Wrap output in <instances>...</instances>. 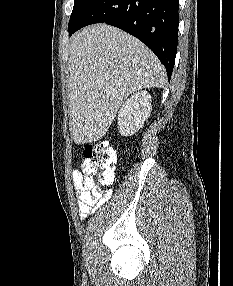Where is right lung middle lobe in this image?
Listing matches in <instances>:
<instances>
[{
	"mask_svg": "<svg viewBox=\"0 0 233 286\" xmlns=\"http://www.w3.org/2000/svg\"><path fill=\"white\" fill-rule=\"evenodd\" d=\"M90 1L91 0H74V7L70 16L68 29L75 25L80 16L83 14L84 10L87 8Z\"/></svg>",
	"mask_w": 233,
	"mask_h": 286,
	"instance_id": "right-lung-middle-lobe-1",
	"label": "right lung middle lobe"
}]
</instances>
